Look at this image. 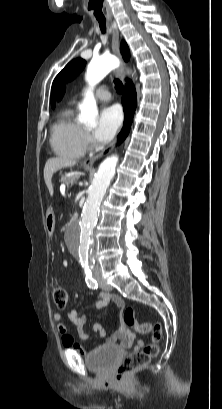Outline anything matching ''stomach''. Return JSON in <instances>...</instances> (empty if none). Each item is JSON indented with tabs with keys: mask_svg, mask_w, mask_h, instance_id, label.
I'll list each match as a JSON object with an SVG mask.
<instances>
[{
	"mask_svg": "<svg viewBox=\"0 0 222 409\" xmlns=\"http://www.w3.org/2000/svg\"><path fill=\"white\" fill-rule=\"evenodd\" d=\"M88 169V168H85ZM55 228V216L52 210H48L46 215V230L49 234H52Z\"/></svg>",
	"mask_w": 222,
	"mask_h": 409,
	"instance_id": "1",
	"label": "stomach"
}]
</instances>
